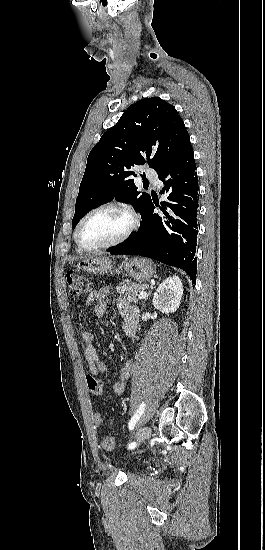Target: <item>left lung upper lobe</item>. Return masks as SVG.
<instances>
[{
    "mask_svg": "<svg viewBox=\"0 0 265 550\" xmlns=\"http://www.w3.org/2000/svg\"><path fill=\"white\" fill-rule=\"evenodd\" d=\"M190 141L176 109L159 97L132 104L89 153L76 200L73 228L91 209L116 198L145 215L149 194L137 191L131 175L148 163L160 173Z\"/></svg>",
    "mask_w": 265,
    "mask_h": 550,
    "instance_id": "left-lung-upper-lobe-1",
    "label": "left lung upper lobe"
}]
</instances>
